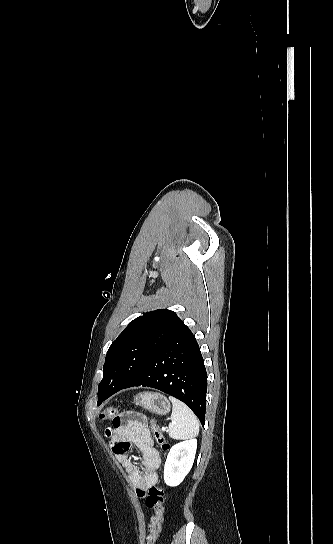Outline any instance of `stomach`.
<instances>
[{"instance_id": "stomach-1", "label": "stomach", "mask_w": 333, "mask_h": 544, "mask_svg": "<svg viewBox=\"0 0 333 544\" xmlns=\"http://www.w3.org/2000/svg\"><path fill=\"white\" fill-rule=\"evenodd\" d=\"M135 403L158 415H166L170 411L169 400L160 393L143 392L135 398Z\"/></svg>"}]
</instances>
